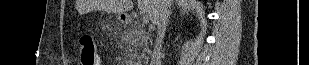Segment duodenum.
Returning <instances> with one entry per match:
<instances>
[{"instance_id":"obj_1","label":"duodenum","mask_w":309,"mask_h":65,"mask_svg":"<svg viewBox=\"0 0 309 65\" xmlns=\"http://www.w3.org/2000/svg\"><path fill=\"white\" fill-rule=\"evenodd\" d=\"M132 20L130 18H126V23H130Z\"/></svg>"}]
</instances>
